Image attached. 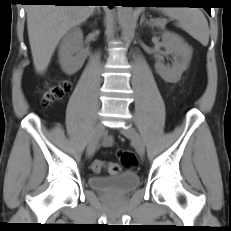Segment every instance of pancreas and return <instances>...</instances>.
Segmentation results:
<instances>
[{
	"instance_id": "1",
	"label": "pancreas",
	"mask_w": 231,
	"mask_h": 231,
	"mask_svg": "<svg viewBox=\"0 0 231 231\" xmlns=\"http://www.w3.org/2000/svg\"><path fill=\"white\" fill-rule=\"evenodd\" d=\"M165 24H166V20H155L154 21V25L161 27V28H164Z\"/></svg>"
}]
</instances>
